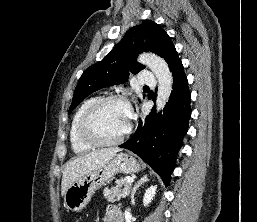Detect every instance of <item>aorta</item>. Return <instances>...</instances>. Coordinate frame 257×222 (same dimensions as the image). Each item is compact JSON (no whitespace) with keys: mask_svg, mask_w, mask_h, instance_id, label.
Segmentation results:
<instances>
[{"mask_svg":"<svg viewBox=\"0 0 257 222\" xmlns=\"http://www.w3.org/2000/svg\"><path fill=\"white\" fill-rule=\"evenodd\" d=\"M138 62L148 66L158 80L156 99V109L158 112L164 108L170 97L173 84L172 74L165 60L155 54L143 53L138 57Z\"/></svg>","mask_w":257,"mask_h":222,"instance_id":"aorta-1","label":"aorta"}]
</instances>
